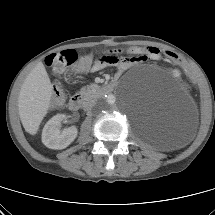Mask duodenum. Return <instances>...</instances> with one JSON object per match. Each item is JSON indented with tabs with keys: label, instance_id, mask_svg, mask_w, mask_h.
<instances>
[{
	"label": "duodenum",
	"instance_id": "duodenum-1",
	"mask_svg": "<svg viewBox=\"0 0 215 215\" xmlns=\"http://www.w3.org/2000/svg\"><path fill=\"white\" fill-rule=\"evenodd\" d=\"M116 86V82L112 81L109 84L105 85L101 90L100 93H110L114 90ZM93 97L92 94H78L73 96L68 103V107L72 111H77L82 108L88 101L91 100Z\"/></svg>",
	"mask_w": 215,
	"mask_h": 215
}]
</instances>
